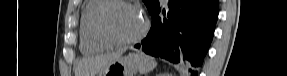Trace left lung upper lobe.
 I'll return each mask as SVG.
<instances>
[{"mask_svg": "<svg viewBox=\"0 0 287 76\" xmlns=\"http://www.w3.org/2000/svg\"><path fill=\"white\" fill-rule=\"evenodd\" d=\"M147 9L150 11L156 4H158V0H143Z\"/></svg>", "mask_w": 287, "mask_h": 76, "instance_id": "1", "label": "left lung upper lobe"}]
</instances>
